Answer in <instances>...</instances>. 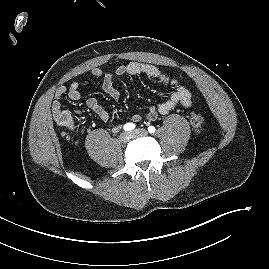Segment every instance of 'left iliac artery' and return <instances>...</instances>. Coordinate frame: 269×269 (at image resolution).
Returning a JSON list of instances; mask_svg holds the SVG:
<instances>
[{
  "label": "left iliac artery",
  "instance_id": "1",
  "mask_svg": "<svg viewBox=\"0 0 269 269\" xmlns=\"http://www.w3.org/2000/svg\"><path fill=\"white\" fill-rule=\"evenodd\" d=\"M155 127L154 126H149L148 127V131H149V133H154L155 132Z\"/></svg>",
  "mask_w": 269,
  "mask_h": 269
}]
</instances>
